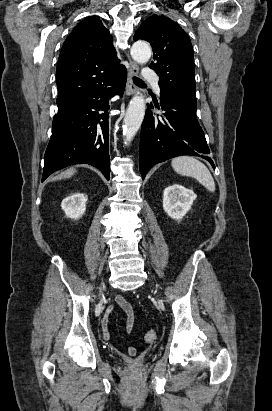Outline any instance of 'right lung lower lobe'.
<instances>
[{
    "mask_svg": "<svg viewBox=\"0 0 272 411\" xmlns=\"http://www.w3.org/2000/svg\"><path fill=\"white\" fill-rule=\"evenodd\" d=\"M126 68L87 95L58 106L52 123V136L44 156V181L54 171L74 164H90L110 179L109 99L122 95Z\"/></svg>",
    "mask_w": 272,
    "mask_h": 411,
    "instance_id": "1",
    "label": "right lung lower lobe"
}]
</instances>
